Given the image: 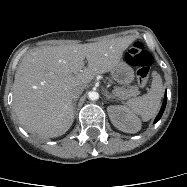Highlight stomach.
I'll list each match as a JSON object with an SVG mask.
<instances>
[{"mask_svg": "<svg viewBox=\"0 0 187 187\" xmlns=\"http://www.w3.org/2000/svg\"><path fill=\"white\" fill-rule=\"evenodd\" d=\"M112 78L121 83L128 84L134 79V71L132 67L124 61H121L111 71Z\"/></svg>", "mask_w": 187, "mask_h": 187, "instance_id": "0dacf381", "label": "stomach"}]
</instances>
